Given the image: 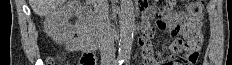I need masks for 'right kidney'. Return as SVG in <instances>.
<instances>
[{
    "label": "right kidney",
    "instance_id": "right-kidney-1",
    "mask_svg": "<svg viewBox=\"0 0 232 65\" xmlns=\"http://www.w3.org/2000/svg\"><path fill=\"white\" fill-rule=\"evenodd\" d=\"M72 4L59 6L45 17L44 30L58 44L69 42L75 35L74 26L69 23L73 16Z\"/></svg>",
    "mask_w": 232,
    "mask_h": 65
}]
</instances>
